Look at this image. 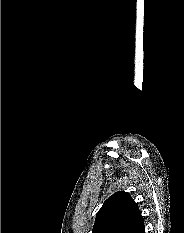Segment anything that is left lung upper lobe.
Here are the masks:
<instances>
[{
    "label": "left lung upper lobe",
    "instance_id": "obj_1",
    "mask_svg": "<svg viewBox=\"0 0 184 233\" xmlns=\"http://www.w3.org/2000/svg\"><path fill=\"white\" fill-rule=\"evenodd\" d=\"M92 233H145L141 211L129 193L116 192L103 203Z\"/></svg>",
    "mask_w": 184,
    "mask_h": 233
}]
</instances>
